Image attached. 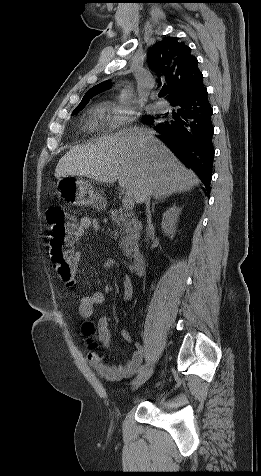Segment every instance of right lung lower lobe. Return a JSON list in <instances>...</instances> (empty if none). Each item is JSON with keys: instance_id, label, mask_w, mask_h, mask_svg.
<instances>
[{"instance_id": "1", "label": "right lung lower lobe", "mask_w": 261, "mask_h": 476, "mask_svg": "<svg viewBox=\"0 0 261 476\" xmlns=\"http://www.w3.org/2000/svg\"><path fill=\"white\" fill-rule=\"evenodd\" d=\"M171 105L176 107L177 111L172 117L164 116V120L155 126V130L161 134L160 140L186 167L191 168L208 188L215 153L214 127L212 108L203 82H200L192 93L174 100Z\"/></svg>"}]
</instances>
